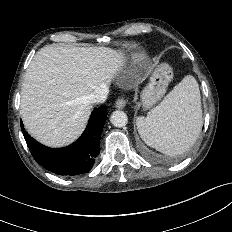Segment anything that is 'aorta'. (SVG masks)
I'll use <instances>...</instances> for the list:
<instances>
[{
  "label": "aorta",
  "instance_id": "1",
  "mask_svg": "<svg viewBox=\"0 0 232 232\" xmlns=\"http://www.w3.org/2000/svg\"><path fill=\"white\" fill-rule=\"evenodd\" d=\"M110 121L115 127H124L128 122L125 112L116 110L111 114Z\"/></svg>",
  "mask_w": 232,
  "mask_h": 232
}]
</instances>
